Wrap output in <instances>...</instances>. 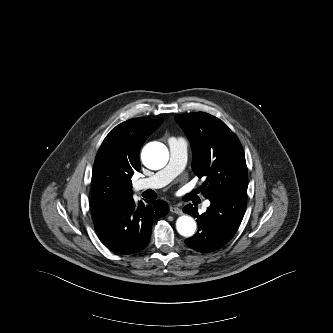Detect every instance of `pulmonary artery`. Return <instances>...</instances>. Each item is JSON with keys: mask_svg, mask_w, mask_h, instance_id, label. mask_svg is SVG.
Masks as SVG:
<instances>
[{"mask_svg": "<svg viewBox=\"0 0 333 333\" xmlns=\"http://www.w3.org/2000/svg\"><path fill=\"white\" fill-rule=\"evenodd\" d=\"M168 146L170 158L166 167L148 178L138 180L135 184L137 189L164 187L182 172L187 159L186 141L182 138H170ZM209 205L210 202L205 203V207Z\"/></svg>", "mask_w": 333, "mask_h": 333, "instance_id": "e3ab8cb5", "label": "pulmonary artery"}]
</instances>
